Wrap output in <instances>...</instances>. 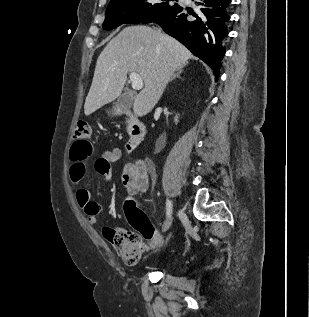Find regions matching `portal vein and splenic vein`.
I'll use <instances>...</instances> for the list:
<instances>
[{"label": "portal vein and splenic vein", "mask_w": 309, "mask_h": 317, "mask_svg": "<svg viewBox=\"0 0 309 317\" xmlns=\"http://www.w3.org/2000/svg\"><path fill=\"white\" fill-rule=\"evenodd\" d=\"M129 77H130V80L132 82V88L134 90H140L143 88L144 84H143L142 78L140 77L139 74H137L135 72H131Z\"/></svg>", "instance_id": "portal-vein-and-splenic-vein-1"}]
</instances>
